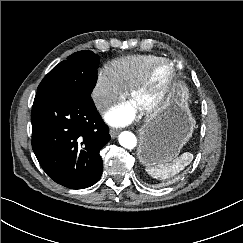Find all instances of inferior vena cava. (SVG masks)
Returning <instances> with one entry per match:
<instances>
[{"label": "inferior vena cava", "mask_w": 243, "mask_h": 243, "mask_svg": "<svg viewBox=\"0 0 243 243\" xmlns=\"http://www.w3.org/2000/svg\"><path fill=\"white\" fill-rule=\"evenodd\" d=\"M95 104L99 110H104L110 106L111 102L104 97H95Z\"/></svg>", "instance_id": "1"}]
</instances>
